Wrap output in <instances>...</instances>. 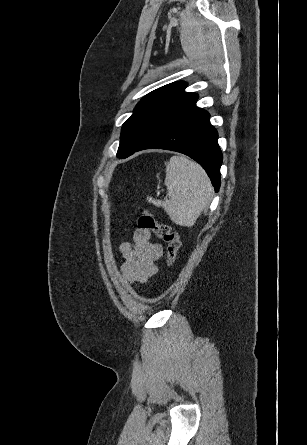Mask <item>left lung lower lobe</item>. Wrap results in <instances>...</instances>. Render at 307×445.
<instances>
[{"label": "left lung lower lobe", "mask_w": 307, "mask_h": 445, "mask_svg": "<svg viewBox=\"0 0 307 445\" xmlns=\"http://www.w3.org/2000/svg\"><path fill=\"white\" fill-rule=\"evenodd\" d=\"M209 118L205 110L194 107L145 140L133 153L158 148L188 155L205 169L215 192H218L222 153L217 143V131Z\"/></svg>", "instance_id": "obj_1"}]
</instances>
